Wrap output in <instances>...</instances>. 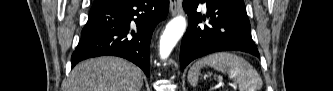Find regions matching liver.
Instances as JSON below:
<instances>
[{
	"label": "liver",
	"mask_w": 333,
	"mask_h": 91,
	"mask_svg": "<svg viewBox=\"0 0 333 91\" xmlns=\"http://www.w3.org/2000/svg\"><path fill=\"white\" fill-rule=\"evenodd\" d=\"M143 72L134 64L116 57L81 62L72 70L66 91H140Z\"/></svg>",
	"instance_id": "liver-1"
}]
</instances>
